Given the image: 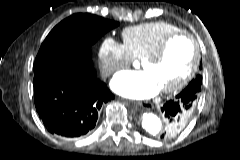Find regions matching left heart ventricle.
<instances>
[{"label":"left heart ventricle","mask_w":240,"mask_h":160,"mask_svg":"<svg viewBox=\"0 0 240 160\" xmlns=\"http://www.w3.org/2000/svg\"><path fill=\"white\" fill-rule=\"evenodd\" d=\"M193 61V48L189 40L180 37L167 47L164 56L157 62L141 64L157 81L160 88L176 84L188 72Z\"/></svg>","instance_id":"b2bd125f"}]
</instances>
